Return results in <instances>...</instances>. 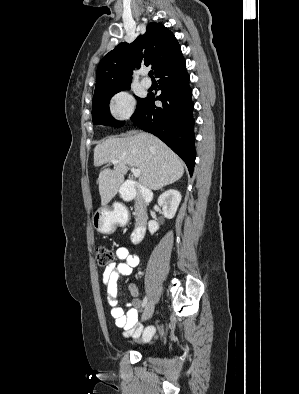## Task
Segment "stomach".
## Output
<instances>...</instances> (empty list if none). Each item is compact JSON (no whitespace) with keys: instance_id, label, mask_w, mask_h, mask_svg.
<instances>
[{"instance_id":"obj_1","label":"stomach","mask_w":299,"mask_h":394,"mask_svg":"<svg viewBox=\"0 0 299 394\" xmlns=\"http://www.w3.org/2000/svg\"><path fill=\"white\" fill-rule=\"evenodd\" d=\"M117 222L118 217L116 211H112L108 207H101L92 216L93 227L103 234L112 233Z\"/></svg>"}]
</instances>
